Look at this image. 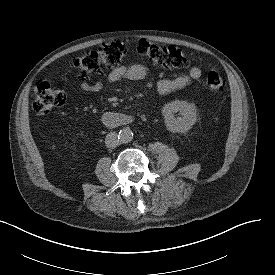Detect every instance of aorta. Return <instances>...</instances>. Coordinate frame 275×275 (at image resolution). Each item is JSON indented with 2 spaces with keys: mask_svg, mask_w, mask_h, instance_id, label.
Wrapping results in <instances>:
<instances>
[{
  "mask_svg": "<svg viewBox=\"0 0 275 275\" xmlns=\"http://www.w3.org/2000/svg\"><path fill=\"white\" fill-rule=\"evenodd\" d=\"M133 136H134L133 131L128 127L123 128L119 132V139L124 144L131 142L133 139Z\"/></svg>",
  "mask_w": 275,
  "mask_h": 275,
  "instance_id": "obj_1",
  "label": "aorta"
}]
</instances>
